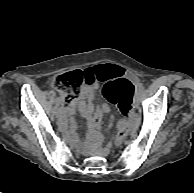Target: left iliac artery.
<instances>
[{"mask_svg": "<svg viewBox=\"0 0 194 193\" xmlns=\"http://www.w3.org/2000/svg\"><path fill=\"white\" fill-rule=\"evenodd\" d=\"M140 85H141V87H142V89H143V84H142V83H140Z\"/></svg>", "mask_w": 194, "mask_h": 193, "instance_id": "44dca946", "label": "left iliac artery"}]
</instances>
